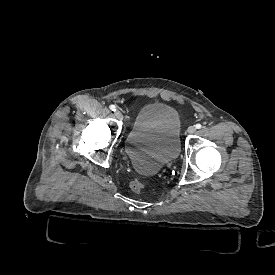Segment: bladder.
I'll use <instances>...</instances> for the list:
<instances>
[{
  "instance_id": "obj_1",
  "label": "bladder",
  "mask_w": 275,
  "mask_h": 275,
  "mask_svg": "<svg viewBox=\"0 0 275 275\" xmlns=\"http://www.w3.org/2000/svg\"><path fill=\"white\" fill-rule=\"evenodd\" d=\"M180 125V113L173 106L162 102L143 105L127 141L132 164L153 174L176 160L181 150Z\"/></svg>"
}]
</instances>
